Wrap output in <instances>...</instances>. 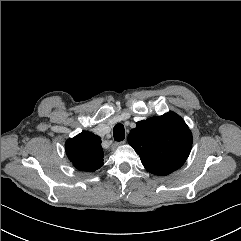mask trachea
<instances>
[{"label": "trachea", "instance_id": "1", "mask_svg": "<svg viewBox=\"0 0 241 241\" xmlns=\"http://www.w3.org/2000/svg\"><path fill=\"white\" fill-rule=\"evenodd\" d=\"M113 135L115 141H123L125 138V130L122 124H116L113 129Z\"/></svg>", "mask_w": 241, "mask_h": 241}]
</instances>
